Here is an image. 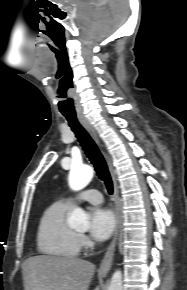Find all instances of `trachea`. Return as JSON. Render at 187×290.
<instances>
[{
	"label": "trachea",
	"instance_id": "trachea-1",
	"mask_svg": "<svg viewBox=\"0 0 187 290\" xmlns=\"http://www.w3.org/2000/svg\"><path fill=\"white\" fill-rule=\"evenodd\" d=\"M63 115L67 119L68 124L71 127L72 131L75 133L86 156L93 164L97 176L105 183L108 193L112 194L113 182L107 164L104 160V157L102 156L94 140L83 128V126L79 123L75 113H63Z\"/></svg>",
	"mask_w": 187,
	"mask_h": 290
}]
</instances>
